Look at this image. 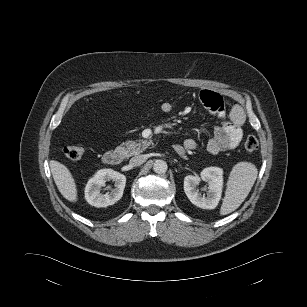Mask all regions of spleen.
<instances>
[{
    "label": "spleen",
    "instance_id": "1",
    "mask_svg": "<svg viewBox=\"0 0 307 307\" xmlns=\"http://www.w3.org/2000/svg\"><path fill=\"white\" fill-rule=\"evenodd\" d=\"M257 174L256 166L249 162H239L232 168L220 208L221 215L233 212L242 204L253 187Z\"/></svg>",
    "mask_w": 307,
    "mask_h": 307
}]
</instances>
